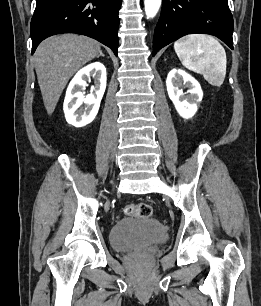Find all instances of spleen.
I'll use <instances>...</instances> for the list:
<instances>
[{
  "mask_svg": "<svg viewBox=\"0 0 261 306\" xmlns=\"http://www.w3.org/2000/svg\"><path fill=\"white\" fill-rule=\"evenodd\" d=\"M174 50L183 66L202 74L212 86H221L226 75V53L212 36L190 34L174 43Z\"/></svg>",
  "mask_w": 261,
  "mask_h": 306,
  "instance_id": "spleen-1",
  "label": "spleen"
}]
</instances>
